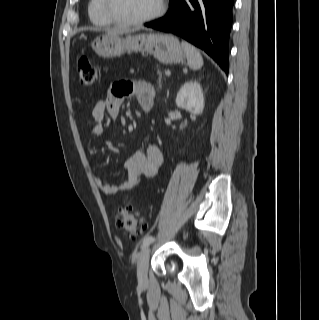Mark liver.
<instances>
[{
  "label": "liver",
  "mask_w": 319,
  "mask_h": 320,
  "mask_svg": "<svg viewBox=\"0 0 319 320\" xmlns=\"http://www.w3.org/2000/svg\"><path fill=\"white\" fill-rule=\"evenodd\" d=\"M130 31H134V30H130V29H125V28H114V29H110L108 30V34H123V33H128Z\"/></svg>",
  "instance_id": "1"
}]
</instances>
